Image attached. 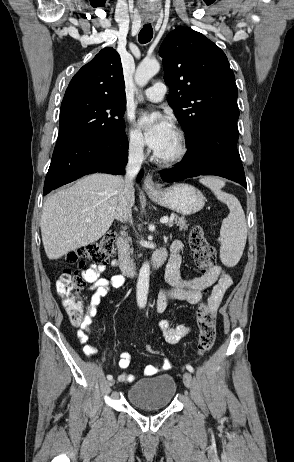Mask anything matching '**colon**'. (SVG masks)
I'll use <instances>...</instances> for the list:
<instances>
[{
  "instance_id": "1",
  "label": "colon",
  "mask_w": 294,
  "mask_h": 462,
  "mask_svg": "<svg viewBox=\"0 0 294 462\" xmlns=\"http://www.w3.org/2000/svg\"><path fill=\"white\" fill-rule=\"evenodd\" d=\"M114 241L115 233L107 232L97 241L72 250L66 256L70 266L65 268L57 279L56 290L73 325H79L83 318L80 292L85 286V281L71 266L81 268L87 262L106 264L115 253ZM189 244L200 272L202 275L209 274L215 266L217 255L215 248L206 240L200 227L192 229ZM197 325L199 328L197 349L200 355H204L212 349L216 339V312L209 302L199 305ZM145 350L150 354H159L150 345H147Z\"/></svg>"
}]
</instances>
